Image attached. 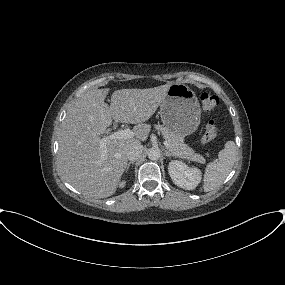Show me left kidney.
Listing matches in <instances>:
<instances>
[{
  "label": "left kidney",
  "instance_id": "obj_1",
  "mask_svg": "<svg viewBox=\"0 0 285 285\" xmlns=\"http://www.w3.org/2000/svg\"><path fill=\"white\" fill-rule=\"evenodd\" d=\"M172 181L180 188L193 190L201 182V171L197 167H189L179 160H172L168 166Z\"/></svg>",
  "mask_w": 285,
  "mask_h": 285
}]
</instances>
